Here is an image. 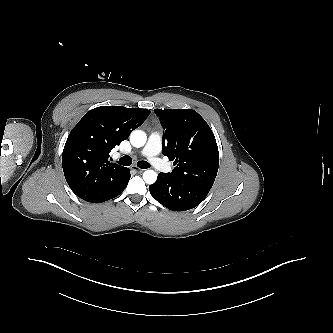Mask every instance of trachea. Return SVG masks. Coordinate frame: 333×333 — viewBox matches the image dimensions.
Masks as SVG:
<instances>
[{"label":"trachea","instance_id":"1","mask_svg":"<svg viewBox=\"0 0 333 333\" xmlns=\"http://www.w3.org/2000/svg\"><path fill=\"white\" fill-rule=\"evenodd\" d=\"M118 163L123 166H130L132 164V158L130 156H123L119 159ZM137 166L141 169H147L150 164L147 161H139Z\"/></svg>","mask_w":333,"mask_h":333}]
</instances>
